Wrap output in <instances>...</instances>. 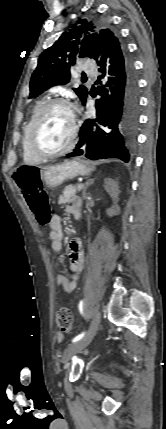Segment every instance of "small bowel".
Listing matches in <instances>:
<instances>
[{"instance_id": "small-bowel-1", "label": "small bowel", "mask_w": 166, "mask_h": 429, "mask_svg": "<svg viewBox=\"0 0 166 429\" xmlns=\"http://www.w3.org/2000/svg\"><path fill=\"white\" fill-rule=\"evenodd\" d=\"M81 206L82 203L79 198H72L67 205V212L78 217L80 215ZM62 237L61 218L58 215H54L50 221L49 239L50 247L56 254L62 250ZM69 248L70 265L68 271L70 272V277L66 274H59L56 278L57 285L67 293H71L76 288L79 275L84 267V252L81 241L79 239H73L70 242ZM56 340L59 343L64 341L62 332L56 333Z\"/></svg>"}]
</instances>
